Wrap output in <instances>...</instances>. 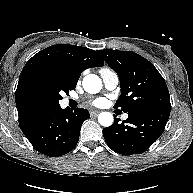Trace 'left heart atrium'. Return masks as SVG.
Here are the masks:
<instances>
[{
  "label": "left heart atrium",
  "instance_id": "1",
  "mask_svg": "<svg viewBox=\"0 0 193 193\" xmlns=\"http://www.w3.org/2000/svg\"><path fill=\"white\" fill-rule=\"evenodd\" d=\"M105 99L104 98H97L93 101V105L97 107H101L105 104Z\"/></svg>",
  "mask_w": 193,
  "mask_h": 193
}]
</instances>
